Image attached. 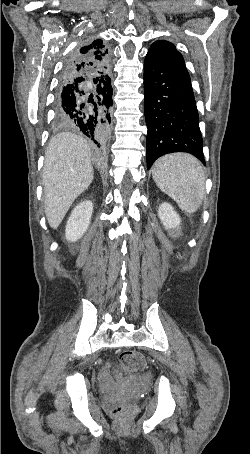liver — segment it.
<instances>
[{
	"label": "liver",
	"mask_w": 250,
	"mask_h": 454,
	"mask_svg": "<svg viewBox=\"0 0 250 454\" xmlns=\"http://www.w3.org/2000/svg\"><path fill=\"white\" fill-rule=\"evenodd\" d=\"M93 178L91 151L84 138L62 132L50 140L42 179L45 214L51 228H58L74 200Z\"/></svg>",
	"instance_id": "6515ba94"
}]
</instances>
